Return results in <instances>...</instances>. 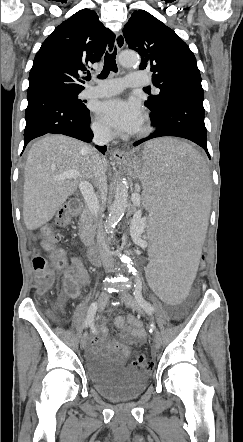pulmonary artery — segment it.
Wrapping results in <instances>:
<instances>
[{
  "label": "pulmonary artery",
  "mask_w": 243,
  "mask_h": 442,
  "mask_svg": "<svg viewBox=\"0 0 243 442\" xmlns=\"http://www.w3.org/2000/svg\"><path fill=\"white\" fill-rule=\"evenodd\" d=\"M94 85L87 87L82 91V98H103L119 93L123 86L139 87L149 83V79L144 74L131 72L127 75L125 80L119 78L94 80ZM157 91V89H156Z\"/></svg>",
  "instance_id": "pulmonary-artery-1"
}]
</instances>
